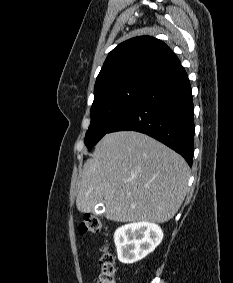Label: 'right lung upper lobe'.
Returning <instances> with one entry per match:
<instances>
[{
    "mask_svg": "<svg viewBox=\"0 0 233 283\" xmlns=\"http://www.w3.org/2000/svg\"><path fill=\"white\" fill-rule=\"evenodd\" d=\"M180 64L161 40L140 36L115 47L97 76L94 94L132 80L152 81Z\"/></svg>",
    "mask_w": 233,
    "mask_h": 283,
    "instance_id": "obj_1",
    "label": "right lung upper lobe"
}]
</instances>
